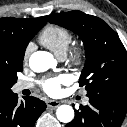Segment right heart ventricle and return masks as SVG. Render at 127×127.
Wrapping results in <instances>:
<instances>
[{
	"mask_svg": "<svg viewBox=\"0 0 127 127\" xmlns=\"http://www.w3.org/2000/svg\"><path fill=\"white\" fill-rule=\"evenodd\" d=\"M72 38V33L69 29L58 25L46 26L39 35L40 43L60 58L65 57Z\"/></svg>",
	"mask_w": 127,
	"mask_h": 127,
	"instance_id": "1",
	"label": "right heart ventricle"
}]
</instances>
